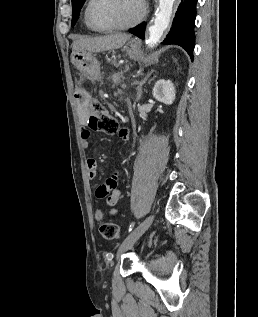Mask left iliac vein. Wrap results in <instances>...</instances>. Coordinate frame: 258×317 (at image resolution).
Listing matches in <instances>:
<instances>
[{
  "instance_id": "left-iliac-vein-1",
  "label": "left iliac vein",
  "mask_w": 258,
  "mask_h": 317,
  "mask_svg": "<svg viewBox=\"0 0 258 317\" xmlns=\"http://www.w3.org/2000/svg\"><path fill=\"white\" fill-rule=\"evenodd\" d=\"M153 216V214L148 215V217H146L133 231L129 233V235L118 247V256L120 254H123V252H128L129 248L132 247L134 244L133 241H138L140 239V236H142L143 233L151 227ZM116 260L118 261L119 259L117 258Z\"/></svg>"
}]
</instances>
